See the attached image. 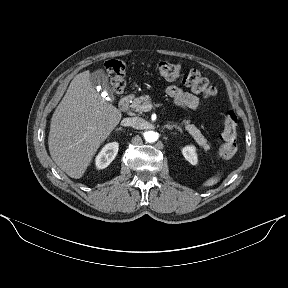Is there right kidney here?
<instances>
[{
	"instance_id": "1",
	"label": "right kidney",
	"mask_w": 288,
	"mask_h": 288,
	"mask_svg": "<svg viewBox=\"0 0 288 288\" xmlns=\"http://www.w3.org/2000/svg\"><path fill=\"white\" fill-rule=\"evenodd\" d=\"M118 147L119 145L117 142L106 144L96 157V167L98 169L106 168L116 157Z\"/></svg>"
}]
</instances>
